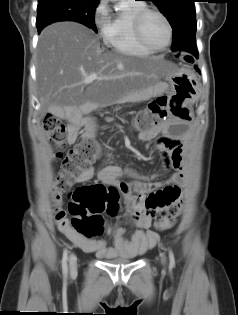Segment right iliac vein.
I'll return each instance as SVG.
<instances>
[{
	"instance_id": "63e3f726",
	"label": "right iliac vein",
	"mask_w": 238,
	"mask_h": 315,
	"mask_svg": "<svg viewBox=\"0 0 238 315\" xmlns=\"http://www.w3.org/2000/svg\"><path fill=\"white\" fill-rule=\"evenodd\" d=\"M69 267H70V274L73 276L77 272V258L75 254H71L69 257Z\"/></svg>"
}]
</instances>
